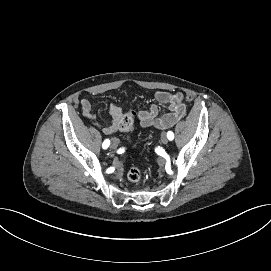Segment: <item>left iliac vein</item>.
<instances>
[{
  "mask_svg": "<svg viewBox=\"0 0 271 271\" xmlns=\"http://www.w3.org/2000/svg\"><path fill=\"white\" fill-rule=\"evenodd\" d=\"M161 142H162V144H167L169 142L166 133H162V135H161Z\"/></svg>",
  "mask_w": 271,
  "mask_h": 271,
  "instance_id": "left-iliac-vein-1",
  "label": "left iliac vein"
}]
</instances>
